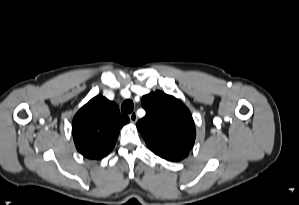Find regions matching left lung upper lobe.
<instances>
[{"label": "left lung upper lobe", "mask_w": 299, "mask_h": 205, "mask_svg": "<svg viewBox=\"0 0 299 205\" xmlns=\"http://www.w3.org/2000/svg\"><path fill=\"white\" fill-rule=\"evenodd\" d=\"M146 115L137 122V128L147 146L155 154L168 149L190 150L196 130L188 108L177 98L161 91L142 97Z\"/></svg>", "instance_id": "5c2ea615"}]
</instances>
